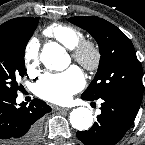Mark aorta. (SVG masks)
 I'll return each mask as SVG.
<instances>
[{
	"mask_svg": "<svg viewBox=\"0 0 145 145\" xmlns=\"http://www.w3.org/2000/svg\"><path fill=\"white\" fill-rule=\"evenodd\" d=\"M40 60L47 69L56 71H62L70 64L65 49L57 43H47L40 54ZM69 120L73 128L84 131L92 126L93 115L88 108L77 107L71 111Z\"/></svg>",
	"mask_w": 145,
	"mask_h": 145,
	"instance_id": "obj_1",
	"label": "aorta"
}]
</instances>
